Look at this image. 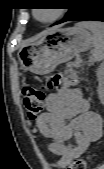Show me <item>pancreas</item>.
Returning <instances> with one entry per match:
<instances>
[{
	"mask_svg": "<svg viewBox=\"0 0 104 169\" xmlns=\"http://www.w3.org/2000/svg\"><path fill=\"white\" fill-rule=\"evenodd\" d=\"M72 66H74L75 68H78L80 66V62L75 61V62L72 63Z\"/></svg>",
	"mask_w": 104,
	"mask_h": 169,
	"instance_id": "cf45deb5",
	"label": "pancreas"
}]
</instances>
